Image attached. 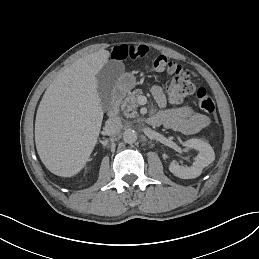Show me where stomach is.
<instances>
[{
	"mask_svg": "<svg viewBox=\"0 0 259 259\" xmlns=\"http://www.w3.org/2000/svg\"><path fill=\"white\" fill-rule=\"evenodd\" d=\"M136 85L135 77L130 74L126 73L121 76V78L118 80V86L128 92L132 88H134Z\"/></svg>",
	"mask_w": 259,
	"mask_h": 259,
	"instance_id": "obj_1",
	"label": "stomach"
}]
</instances>
